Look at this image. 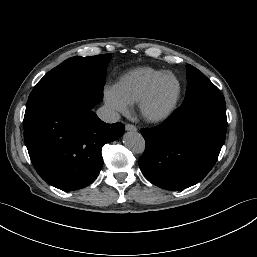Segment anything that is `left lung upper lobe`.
I'll use <instances>...</instances> for the list:
<instances>
[{
	"label": "left lung upper lobe",
	"mask_w": 257,
	"mask_h": 257,
	"mask_svg": "<svg viewBox=\"0 0 257 257\" xmlns=\"http://www.w3.org/2000/svg\"><path fill=\"white\" fill-rule=\"evenodd\" d=\"M187 90L182 106H193L209 100H225L221 91L198 69L187 65Z\"/></svg>",
	"instance_id": "5c2ea615"
}]
</instances>
